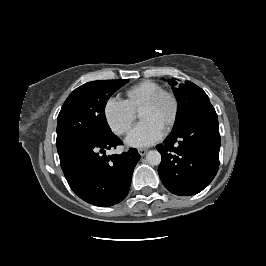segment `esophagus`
Instances as JSON below:
<instances>
[{
	"label": "esophagus",
	"instance_id": "34e87169",
	"mask_svg": "<svg viewBox=\"0 0 266 266\" xmlns=\"http://www.w3.org/2000/svg\"><path fill=\"white\" fill-rule=\"evenodd\" d=\"M148 149L146 148H139L138 152L141 156H144L147 153Z\"/></svg>",
	"mask_w": 266,
	"mask_h": 266
}]
</instances>
